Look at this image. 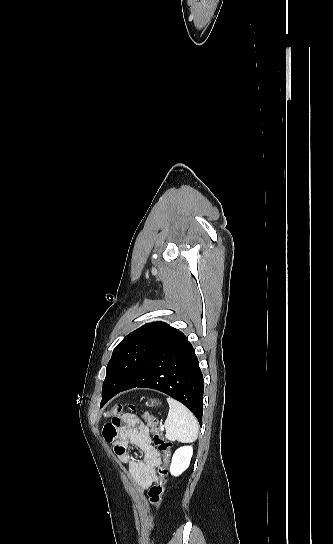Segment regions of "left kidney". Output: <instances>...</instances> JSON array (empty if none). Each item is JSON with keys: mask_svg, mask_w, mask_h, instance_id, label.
I'll use <instances>...</instances> for the list:
<instances>
[{"mask_svg": "<svg viewBox=\"0 0 333 544\" xmlns=\"http://www.w3.org/2000/svg\"><path fill=\"white\" fill-rule=\"evenodd\" d=\"M192 455V446H182L178 448L172 456L170 473L173 476H179L182 474L189 467Z\"/></svg>", "mask_w": 333, "mask_h": 544, "instance_id": "obj_1", "label": "left kidney"}]
</instances>
